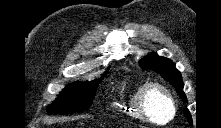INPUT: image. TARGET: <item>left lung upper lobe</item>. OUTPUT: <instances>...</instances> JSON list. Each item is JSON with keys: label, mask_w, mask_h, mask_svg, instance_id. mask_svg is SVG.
I'll return each instance as SVG.
<instances>
[{"label": "left lung upper lobe", "mask_w": 221, "mask_h": 128, "mask_svg": "<svg viewBox=\"0 0 221 128\" xmlns=\"http://www.w3.org/2000/svg\"><path fill=\"white\" fill-rule=\"evenodd\" d=\"M140 66L143 69L154 70L159 73L165 80L169 81L178 92L184 102H187L183 92V82L180 72L175 68V64L168 58L161 57L155 53H150L140 61ZM184 115L190 123L192 118L188 110H184Z\"/></svg>", "instance_id": "obj_1"}]
</instances>
